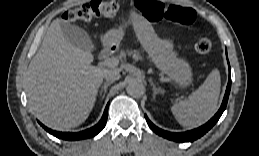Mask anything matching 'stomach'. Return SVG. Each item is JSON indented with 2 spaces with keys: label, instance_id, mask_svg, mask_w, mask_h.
Returning a JSON list of instances; mask_svg holds the SVG:
<instances>
[{
  "label": "stomach",
  "instance_id": "1",
  "mask_svg": "<svg viewBox=\"0 0 259 156\" xmlns=\"http://www.w3.org/2000/svg\"><path fill=\"white\" fill-rule=\"evenodd\" d=\"M129 22L134 26L137 37L148 53L154 65L169 76L179 88H186L192 83V70L188 62L178 58L170 40L161 39L151 24L142 16L130 12ZM124 25L108 32L106 39L112 45H119L123 37Z\"/></svg>",
  "mask_w": 259,
  "mask_h": 156
}]
</instances>
